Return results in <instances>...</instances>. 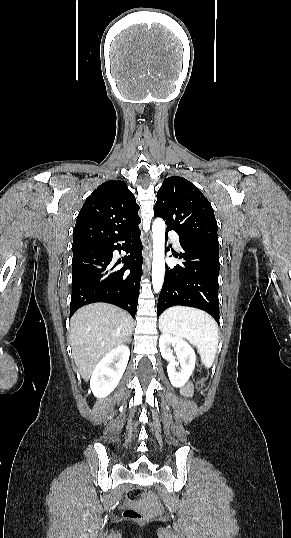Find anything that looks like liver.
<instances>
[{
  "instance_id": "liver-1",
  "label": "liver",
  "mask_w": 291,
  "mask_h": 538,
  "mask_svg": "<svg viewBox=\"0 0 291 538\" xmlns=\"http://www.w3.org/2000/svg\"><path fill=\"white\" fill-rule=\"evenodd\" d=\"M133 329L130 314L110 304H90L72 316L69 331L72 357L85 381L102 357L130 339Z\"/></svg>"
}]
</instances>
